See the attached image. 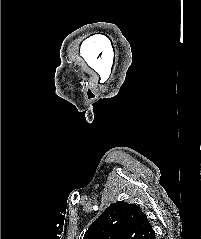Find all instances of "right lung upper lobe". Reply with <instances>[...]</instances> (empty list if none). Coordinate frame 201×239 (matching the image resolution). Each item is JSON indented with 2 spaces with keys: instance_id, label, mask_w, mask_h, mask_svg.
Here are the masks:
<instances>
[{
  "instance_id": "1",
  "label": "right lung upper lobe",
  "mask_w": 201,
  "mask_h": 239,
  "mask_svg": "<svg viewBox=\"0 0 201 239\" xmlns=\"http://www.w3.org/2000/svg\"><path fill=\"white\" fill-rule=\"evenodd\" d=\"M83 239H155V232L138 205L118 201L90 225Z\"/></svg>"
}]
</instances>
